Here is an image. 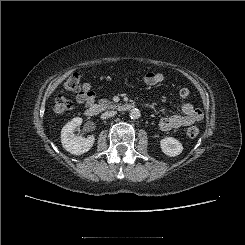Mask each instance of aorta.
<instances>
[{
	"label": "aorta",
	"mask_w": 245,
	"mask_h": 245,
	"mask_svg": "<svg viewBox=\"0 0 245 245\" xmlns=\"http://www.w3.org/2000/svg\"><path fill=\"white\" fill-rule=\"evenodd\" d=\"M129 116L131 119H138L141 116L140 110L137 108H133L130 110Z\"/></svg>",
	"instance_id": "obj_1"
}]
</instances>
